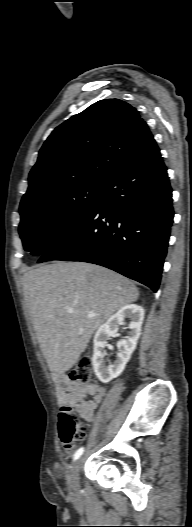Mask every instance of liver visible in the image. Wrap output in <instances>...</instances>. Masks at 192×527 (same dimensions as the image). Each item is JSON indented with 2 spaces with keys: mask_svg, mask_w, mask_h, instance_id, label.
I'll return each mask as SVG.
<instances>
[{
  "mask_svg": "<svg viewBox=\"0 0 192 527\" xmlns=\"http://www.w3.org/2000/svg\"><path fill=\"white\" fill-rule=\"evenodd\" d=\"M23 291L42 353L57 373L71 369L94 331L139 296L129 279L80 262H57L26 272Z\"/></svg>",
  "mask_w": 192,
  "mask_h": 527,
  "instance_id": "6515ba94",
  "label": "liver"
}]
</instances>
